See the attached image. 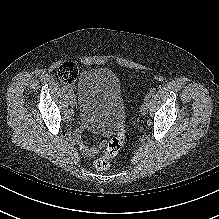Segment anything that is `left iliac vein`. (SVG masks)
<instances>
[{
	"instance_id": "4c4485c4",
	"label": "left iliac vein",
	"mask_w": 219,
	"mask_h": 219,
	"mask_svg": "<svg viewBox=\"0 0 219 219\" xmlns=\"http://www.w3.org/2000/svg\"><path fill=\"white\" fill-rule=\"evenodd\" d=\"M148 112V103L143 102L140 108V113L142 116H145Z\"/></svg>"
}]
</instances>
